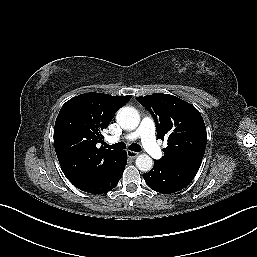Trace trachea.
Masks as SVG:
<instances>
[{"mask_svg":"<svg viewBox=\"0 0 257 257\" xmlns=\"http://www.w3.org/2000/svg\"><path fill=\"white\" fill-rule=\"evenodd\" d=\"M104 146L106 148L114 149V150H122V149L126 148V145L123 142H119V143H116V144H113V145H108V144L104 143ZM129 149L132 150V151H135V152H140L141 151V147L138 144H131L129 146Z\"/></svg>","mask_w":257,"mask_h":257,"instance_id":"obj_1","label":"trachea"}]
</instances>
